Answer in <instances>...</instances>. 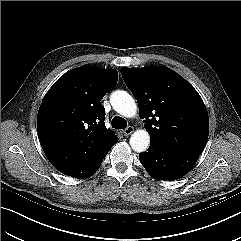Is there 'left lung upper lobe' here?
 <instances>
[{
	"instance_id": "obj_1",
	"label": "left lung upper lobe",
	"mask_w": 241,
	"mask_h": 241,
	"mask_svg": "<svg viewBox=\"0 0 241 241\" xmlns=\"http://www.w3.org/2000/svg\"><path fill=\"white\" fill-rule=\"evenodd\" d=\"M121 75L138 102L151 143L199 157L208 139L209 118L193 86L166 67L122 68Z\"/></svg>"
}]
</instances>
